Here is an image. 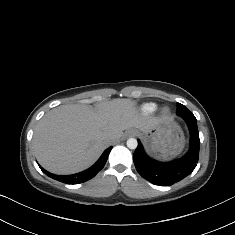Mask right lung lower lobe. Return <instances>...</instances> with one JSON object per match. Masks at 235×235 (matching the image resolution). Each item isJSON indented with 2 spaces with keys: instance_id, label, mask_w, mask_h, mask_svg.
<instances>
[{
  "instance_id": "1",
  "label": "right lung lower lobe",
  "mask_w": 235,
  "mask_h": 235,
  "mask_svg": "<svg viewBox=\"0 0 235 235\" xmlns=\"http://www.w3.org/2000/svg\"><path fill=\"white\" fill-rule=\"evenodd\" d=\"M111 149H112V147H109L108 149H106L104 151V153L102 154V156L99 158V160L92 167H90L89 169H87L83 172L77 173V174L55 175V174H52V173L46 171L41 166H40V168L45 174H47L49 177H51L57 181H60V182L66 183V184L83 183V182H86V181L90 180L91 178H93L104 167Z\"/></svg>"
}]
</instances>
